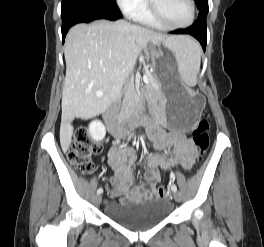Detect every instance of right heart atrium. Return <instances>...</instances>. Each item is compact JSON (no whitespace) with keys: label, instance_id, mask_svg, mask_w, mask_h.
<instances>
[{"label":"right heart atrium","instance_id":"right-heart-atrium-1","mask_svg":"<svg viewBox=\"0 0 264 247\" xmlns=\"http://www.w3.org/2000/svg\"><path fill=\"white\" fill-rule=\"evenodd\" d=\"M117 5L127 15H134L146 6V0H116Z\"/></svg>","mask_w":264,"mask_h":247}]
</instances>
